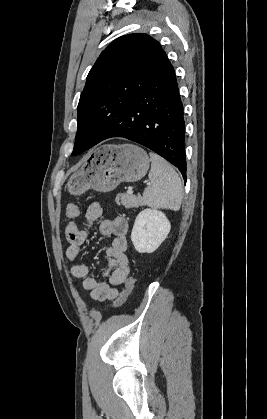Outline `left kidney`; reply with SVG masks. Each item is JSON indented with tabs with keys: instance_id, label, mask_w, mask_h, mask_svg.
Listing matches in <instances>:
<instances>
[{
	"instance_id": "left-kidney-1",
	"label": "left kidney",
	"mask_w": 267,
	"mask_h": 419,
	"mask_svg": "<svg viewBox=\"0 0 267 419\" xmlns=\"http://www.w3.org/2000/svg\"><path fill=\"white\" fill-rule=\"evenodd\" d=\"M170 229L171 224L162 211L146 208L135 219L131 240L139 253H152L167 238Z\"/></svg>"
}]
</instances>
